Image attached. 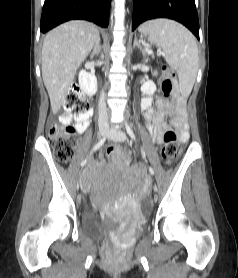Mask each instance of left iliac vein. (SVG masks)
Returning <instances> with one entry per match:
<instances>
[{"label":"left iliac vein","mask_w":238,"mask_h":278,"mask_svg":"<svg viewBox=\"0 0 238 278\" xmlns=\"http://www.w3.org/2000/svg\"><path fill=\"white\" fill-rule=\"evenodd\" d=\"M108 137L111 140L124 142L127 140L125 132L120 129L112 128L108 132ZM154 191H158V185H154Z\"/></svg>","instance_id":"1"}]
</instances>
